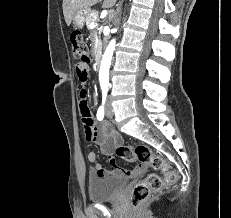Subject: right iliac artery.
Here are the masks:
<instances>
[{"instance_id": "obj_1", "label": "right iliac artery", "mask_w": 231, "mask_h": 218, "mask_svg": "<svg viewBox=\"0 0 231 218\" xmlns=\"http://www.w3.org/2000/svg\"><path fill=\"white\" fill-rule=\"evenodd\" d=\"M106 100V94H103L102 106L97 111V119L101 121L104 118V103Z\"/></svg>"}]
</instances>
